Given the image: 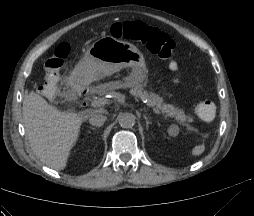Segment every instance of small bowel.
<instances>
[{
	"label": "small bowel",
	"mask_w": 254,
	"mask_h": 216,
	"mask_svg": "<svg viewBox=\"0 0 254 216\" xmlns=\"http://www.w3.org/2000/svg\"><path fill=\"white\" fill-rule=\"evenodd\" d=\"M173 81H174L175 83H178V82H179V80H178L177 78H174Z\"/></svg>",
	"instance_id": "1"
}]
</instances>
